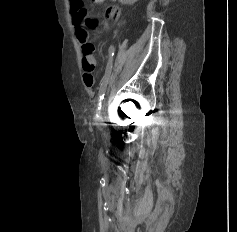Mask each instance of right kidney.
<instances>
[{"label":"right kidney","mask_w":237,"mask_h":232,"mask_svg":"<svg viewBox=\"0 0 237 232\" xmlns=\"http://www.w3.org/2000/svg\"><path fill=\"white\" fill-rule=\"evenodd\" d=\"M137 0H119L122 4H129L132 5L136 2Z\"/></svg>","instance_id":"obj_1"}]
</instances>
